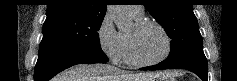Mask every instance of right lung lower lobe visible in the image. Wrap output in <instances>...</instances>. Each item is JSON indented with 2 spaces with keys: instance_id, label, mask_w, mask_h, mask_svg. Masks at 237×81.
Here are the masks:
<instances>
[{
  "instance_id": "right-lung-lower-lobe-1",
  "label": "right lung lower lobe",
  "mask_w": 237,
  "mask_h": 81,
  "mask_svg": "<svg viewBox=\"0 0 237 81\" xmlns=\"http://www.w3.org/2000/svg\"><path fill=\"white\" fill-rule=\"evenodd\" d=\"M102 50L40 46L34 81H48L59 72L76 64L107 62Z\"/></svg>"
}]
</instances>
